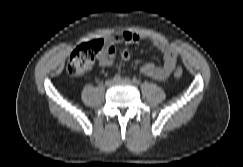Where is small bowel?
<instances>
[{"label":"small bowel","mask_w":243,"mask_h":167,"mask_svg":"<svg viewBox=\"0 0 243 167\" xmlns=\"http://www.w3.org/2000/svg\"><path fill=\"white\" fill-rule=\"evenodd\" d=\"M141 36L131 31H117L105 40L104 48L98 55V65L102 68L110 67L116 58L128 61L131 57L129 48L141 40ZM153 46L159 49L164 58V63L158 66L146 63L141 68L145 76L162 81L168 78L175 70L178 58L175 49L165 41L155 39ZM117 45H122L117 48Z\"/></svg>","instance_id":"1"}]
</instances>
